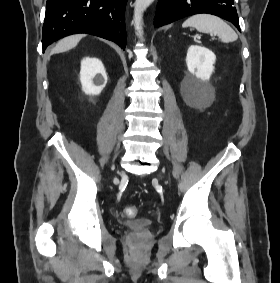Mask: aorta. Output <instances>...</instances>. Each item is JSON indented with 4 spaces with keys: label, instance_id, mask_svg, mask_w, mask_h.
<instances>
[{
    "label": "aorta",
    "instance_id": "762f6f07",
    "mask_svg": "<svg viewBox=\"0 0 280 283\" xmlns=\"http://www.w3.org/2000/svg\"><path fill=\"white\" fill-rule=\"evenodd\" d=\"M154 0H135L133 23L137 34L142 37V20L144 11Z\"/></svg>",
    "mask_w": 280,
    "mask_h": 283
}]
</instances>
